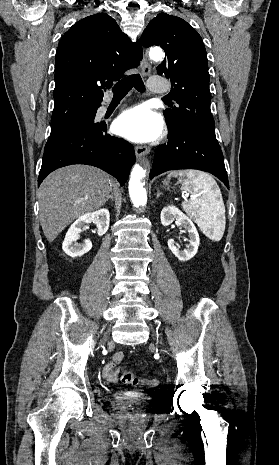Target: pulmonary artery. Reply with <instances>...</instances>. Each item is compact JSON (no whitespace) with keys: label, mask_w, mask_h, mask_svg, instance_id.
Listing matches in <instances>:
<instances>
[{"label":"pulmonary artery","mask_w":279,"mask_h":465,"mask_svg":"<svg viewBox=\"0 0 279 465\" xmlns=\"http://www.w3.org/2000/svg\"><path fill=\"white\" fill-rule=\"evenodd\" d=\"M149 88L152 92L162 94L167 91L166 85L158 77H152L149 81ZM106 108V107H105Z\"/></svg>","instance_id":"e3ab8cb5"}]
</instances>
